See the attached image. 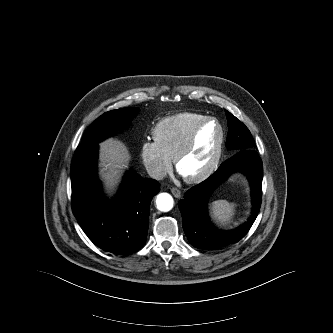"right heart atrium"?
<instances>
[{"instance_id":"1","label":"right heart atrium","mask_w":333,"mask_h":333,"mask_svg":"<svg viewBox=\"0 0 333 333\" xmlns=\"http://www.w3.org/2000/svg\"><path fill=\"white\" fill-rule=\"evenodd\" d=\"M142 162L149 175L162 179L172 168V161L152 141H144L141 145Z\"/></svg>"}]
</instances>
